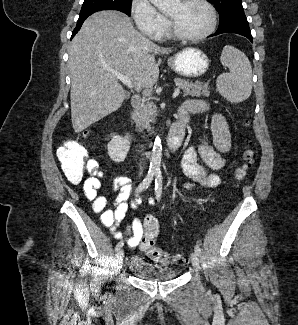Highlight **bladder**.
<instances>
[{
  "mask_svg": "<svg viewBox=\"0 0 298 325\" xmlns=\"http://www.w3.org/2000/svg\"><path fill=\"white\" fill-rule=\"evenodd\" d=\"M129 271L138 279L146 282H166L177 276L174 268L154 264L140 255L133 256L129 261Z\"/></svg>",
  "mask_w": 298,
  "mask_h": 325,
  "instance_id": "1",
  "label": "bladder"
}]
</instances>
